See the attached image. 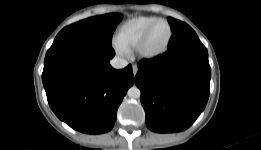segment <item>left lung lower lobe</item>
Instances as JSON below:
<instances>
[{"instance_id": "0a47b994", "label": "left lung lower lobe", "mask_w": 261, "mask_h": 150, "mask_svg": "<svg viewBox=\"0 0 261 150\" xmlns=\"http://www.w3.org/2000/svg\"><path fill=\"white\" fill-rule=\"evenodd\" d=\"M137 66L135 83L147 127L160 133L187 129L204 110L210 91L208 52L196 33L186 25L173 33L166 53Z\"/></svg>"}]
</instances>
